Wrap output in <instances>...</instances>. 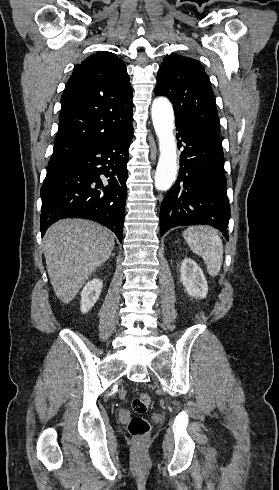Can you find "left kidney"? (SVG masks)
Returning a JSON list of instances; mask_svg holds the SVG:
<instances>
[{
    "label": "left kidney",
    "mask_w": 279,
    "mask_h": 490,
    "mask_svg": "<svg viewBox=\"0 0 279 490\" xmlns=\"http://www.w3.org/2000/svg\"><path fill=\"white\" fill-rule=\"evenodd\" d=\"M181 282L191 298H207L208 286L206 278L199 266L191 258H184L180 268Z\"/></svg>",
    "instance_id": "1"
}]
</instances>
